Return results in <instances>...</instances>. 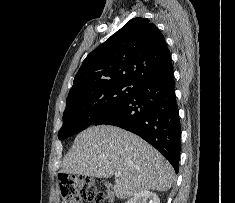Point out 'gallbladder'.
I'll list each match as a JSON object with an SVG mask.
<instances>
[{"label":"gallbladder","instance_id":"1","mask_svg":"<svg viewBox=\"0 0 235 203\" xmlns=\"http://www.w3.org/2000/svg\"><path fill=\"white\" fill-rule=\"evenodd\" d=\"M104 184H105V186H107L108 188L112 187V184H111L110 182H107V181H106Z\"/></svg>","mask_w":235,"mask_h":203}]
</instances>
